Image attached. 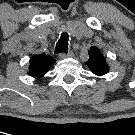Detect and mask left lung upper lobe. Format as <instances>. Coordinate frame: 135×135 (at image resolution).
<instances>
[{
	"instance_id": "left-lung-upper-lobe-1",
	"label": "left lung upper lobe",
	"mask_w": 135,
	"mask_h": 135,
	"mask_svg": "<svg viewBox=\"0 0 135 135\" xmlns=\"http://www.w3.org/2000/svg\"><path fill=\"white\" fill-rule=\"evenodd\" d=\"M88 54L89 60L86 62V65H88L89 69L97 76L106 74L109 67L100 50L97 47L92 46Z\"/></svg>"
}]
</instances>
